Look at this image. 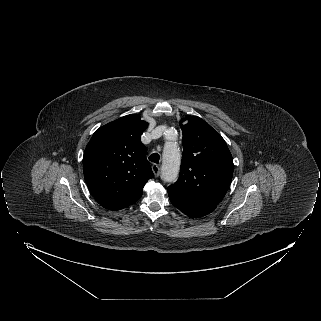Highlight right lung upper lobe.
I'll return each mask as SVG.
<instances>
[{"mask_svg": "<svg viewBox=\"0 0 321 321\" xmlns=\"http://www.w3.org/2000/svg\"><path fill=\"white\" fill-rule=\"evenodd\" d=\"M148 123L130 114L100 127L83 156L87 186L104 208L120 210L135 203L146 182L153 178L141 134Z\"/></svg>", "mask_w": 321, "mask_h": 321, "instance_id": "1", "label": "right lung upper lobe"}]
</instances>
